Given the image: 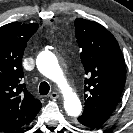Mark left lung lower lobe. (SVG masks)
Returning a JSON list of instances; mask_svg holds the SVG:
<instances>
[{
	"mask_svg": "<svg viewBox=\"0 0 133 133\" xmlns=\"http://www.w3.org/2000/svg\"><path fill=\"white\" fill-rule=\"evenodd\" d=\"M109 117L95 115L90 112L84 111L81 116L78 117V125H83L91 129H95L103 125Z\"/></svg>",
	"mask_w": 133,
	"mask_h": 133,
	"instance_id": "0a47b994",
	"label": "left lung lower lobe"
}]
</instances>
